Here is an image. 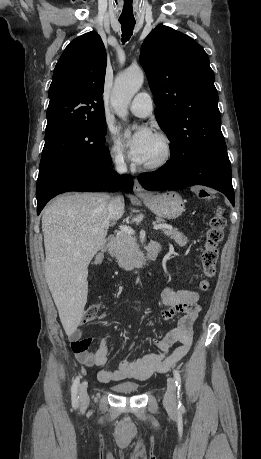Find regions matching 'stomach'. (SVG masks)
Wrapping results in <instances>:
<instances>
[{
	"mask_svg": "<svg viewBox=\"0 0 261 459\" xmlns=\"http://www.w3.org/2000/svg\"><path fill=\"white\" fill-rule=\"evenodd\" d=\"M144 204L158 217L176 219L185 210L182 197L174 191L142 197Z\"/></svg>",
	"mask_w": 261,
	"mask_h": 459,
	"instance_id": "1",
	"label": "stomach"
}]
</instances>
